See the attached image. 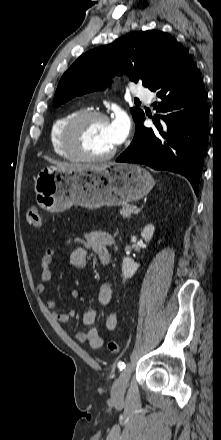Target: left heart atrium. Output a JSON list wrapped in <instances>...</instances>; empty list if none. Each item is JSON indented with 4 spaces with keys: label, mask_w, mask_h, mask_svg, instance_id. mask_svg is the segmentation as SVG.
I'll return each mask as SVG.
<instances>
[{
    "label": "left heart atrium",
    "mask_w": 221,
    "mask_h": 440,
    "mask_svg": "<svg viewBox=\"0 0 221 440\" xmlns=\"http://www.w3.org/2000/svg\"><path fill=\"white\" fill-rule=\"evenodd\" d=\"M130 122L124 113H118L110 122V132L114 145L120 144L128 135Z\"/></svg>",
    "instance_id": "1"
}]
</instances>
